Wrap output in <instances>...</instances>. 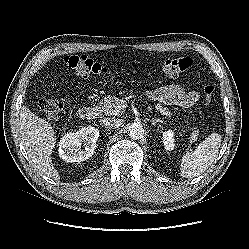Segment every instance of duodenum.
Wrapping results in <instances>:
<instances>
[{"label":"duodenum","mask_w":249,"mask_h":249,"mask_svg":"<svg viewBox=\"0 0 249 249\" xmlns=\"http://www.w3.org/2000/svg\"><path fill=\"white\" fill-rule=\"evenodd\" d=\"M79 117L83 120L94 119L98 115V110L95 107H83L78 112Z\"/></svg>","instance_id":"duodenum-1"}]
</instances>
